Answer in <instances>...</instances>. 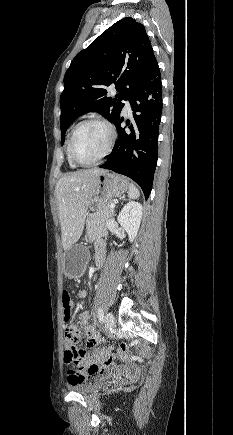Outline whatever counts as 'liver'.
I'll return each mask as SVG.
<instances>
[{"instance_id": "obj_1", "label": "liver", "mask_w": 233, "mask_h": 435, "mask_svg": "<svg viewBox=\"0 0 233 435\" xmlns=\"http://www.w3.org/2000/svg\"><path fill=\"white\" fill-rule=\"evenodd\" d=\"M104 172L103 169L80 170L57 182L56 198L64 250L79 240L97 177Z\"/></svg>"}]
</instances>
